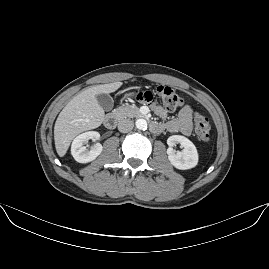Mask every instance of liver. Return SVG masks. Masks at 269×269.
Listing matches in <instances>:
<instances>
[{
    "instance_id": "1",
    "label": "liver",
    "mask_w": 269,
    "mask_h": 269,
    "mask_svg": "<svg viewBox=\"0 0 269 269\" xmlns=\"http://www.w3.org/2000/svg\"><path fill=\"white\" fill-rule=\"evenodd\" d=\"M121 82L90 87L74 97L60 112L54 129L55 145L60 156L65 155L71 141L79 133L97 128L104 120V110L96 95L115 91Z\"/></svg>"
}]
</instances>
